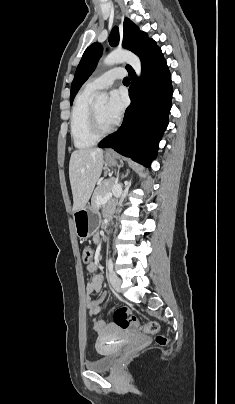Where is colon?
<instances>
[{
  "mask_svg": "<svg viewBox=\"0 0 235 404\" xmlns=\"http://www.w3.org/2000/svg\"><path fill=\"white\" fill-rule=\"evenodd\" d=\"M93 258V250L89 246H85L82 250V259L84 263H89ZM114 322L121 329H127L136 326L140 331L146 334L155 335V342L159 346H165L168 342L166 336L158 334L159 325L156 322L140 324L134 317H129L126 309H118L114 313ZM101 347V346H100ZM102 348V347H101Z\"/></svg>",
  "mask_w": 235,
  "mask_h": 404,
  "instance_id": "1",
  "label": "colon"
}]
</instances>
